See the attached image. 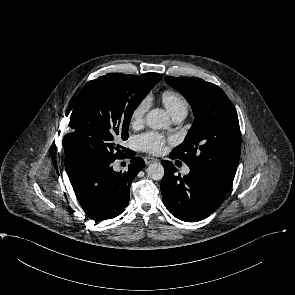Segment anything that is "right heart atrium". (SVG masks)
<instances>
[{"label":"right heart atrium","instance_id":"1","mask_svg":"<svg viewBox=\"0 0 295 295\" xmlns=\"http://www.w3.org/2000/svg\"><path fill=\"white\" fill-rule=\"evenodd\" d=\"M151 104L149 96L143 97L132 109L130 115V124L132 127H138L144 122L145 114Z\"/></svg>","mask_w":295,"mask_h":295}]
</instances>
